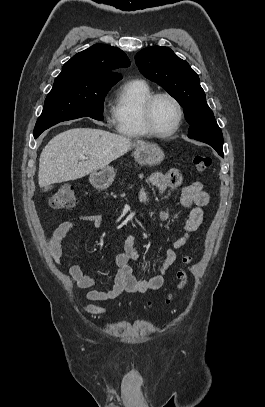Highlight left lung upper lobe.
Instances as JSON below:
<instances>
[{"label":"left lung upper lobe","instance_id":"5c2ea615","mask_svg":"<svg viewBox=\"0 0 265 407\" xmlns=\"http://www.w3.org/2000/svg\"><path fill=\"white\" fill-rule=\"evenodd\" d=\"M141 73L162 86L184 108L190 124L188 137L216 146L222 152L223 135L206 102L197 73L168 47H148L135 56Z\"/></svg>","mask_w":265,"mask_h":407}]
</instances>
